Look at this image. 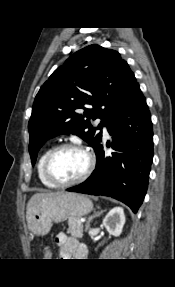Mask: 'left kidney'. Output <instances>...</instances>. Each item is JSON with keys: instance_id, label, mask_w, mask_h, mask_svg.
Segmentation results:
<instances>
[{"instance_id": "5707ae66", "label": "left kidney", "mask_w": 175, "mask_h": 287, "mask_svg": "<svg viewBox=\"0 0 175 287\" xmlns=\"http://www.w3.org/2000/svg\"><path fill=\"white\" fill-rule=\"evenodd\" d=\"M125 224L124 210L121 207L111 209L103 219V225L109 234L119 236Z\"/></svg>"}]
</instances>
